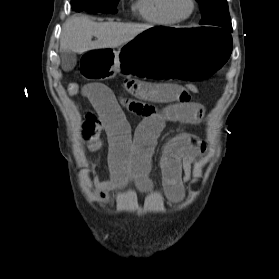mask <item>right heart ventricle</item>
<instances>
[{"label":"right heart ventricle","mask_w":279,"mask_h":279,"mask_svg":"<svg viewBox=\"0 0 279 279\" xmlns=\"http://www.w3.org/2000/svg\"><path fill=\"white\" fill-rule=\"evenodd\" d=\"M134 10L145 21L157 25H171L176 23L164 8V0H136Z\"/></svg>","instance_id":"obj_1"}]
</instances>
